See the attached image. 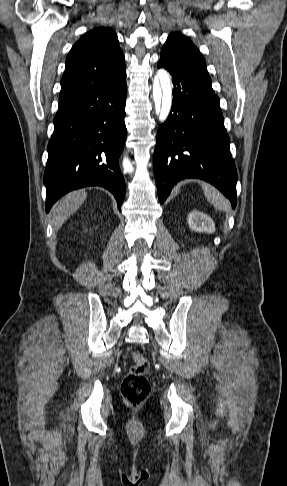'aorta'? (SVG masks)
I'll list each match as a JSON object with an SVG mask.
<instances>
[{
    "instance_id": "1",
    "label": "aorta",
    "mask_w": 287,
    "mask_h": 486,
    "mask_svg": "<svg viewBox=\"0 0 287 486\" xmlns=\"http://www.w3.org/2000/svg\"><path fill=\"white\" fill-rule=\"evenodd\" d=\"M153 102L155 112L165 121L169 116L172 106V82L169 73L162 70L153 81ZM124 170L128 173L133 172V168L129 162H124Z\"/></svg>"
}]
</instances>
